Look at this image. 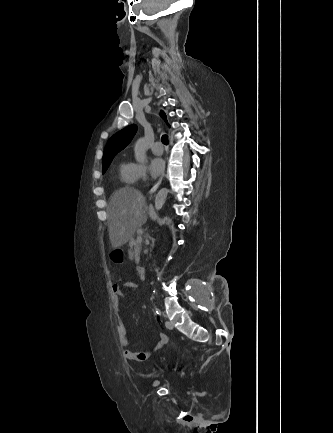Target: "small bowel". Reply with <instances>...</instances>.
Here are the masks:
<instances>
[{"mask_svg":"<svg viewBox=\"0 0 333 433\" xmlns=\"http://www.w3.org/2000/svg\"><path fill=\"white\" fill-rule=\"evenodd\" d=\"M137 284L134 282H122L115 281L112 284V290L114 293V308L115 313L118 317H121V309H120V299L124 298L128 295L130 290L137 288ZM118 332H119V342L123 347H128L130 344L128 331L122 320L119 321L118 324ZM168 338L164 333H159L157 336L156 343L151 346L149 349L143 352H134L130 349H125L123 351L124 357L131 361H145L148 360L157 350L162 348L164 344H166Z\"/></svg>","mask_w":333,"mask_h":433,"instance_id":"obj_1","label":"small bowel"}]
</instances>
